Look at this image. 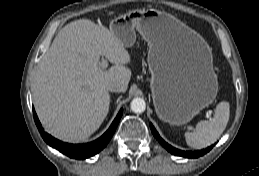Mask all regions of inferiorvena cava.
<instances>
[{
    "label": "inferior vena cava",
    "mask_w": 259,
    "mask_h": 176,
    "mask_svg": "<svg viewBox=\"0 0 259 176\" xmlns=\"http://www.w3.org/2000/svg\"><path fill=\"white\" fill-rule=\"evenodd\" d=\"M108 90L112 92H119L120 88L118 84L112 83L108 86Z\"/></svg>",
    "instance_id": "inferior-vena-cava-1"
}]
</instances>
